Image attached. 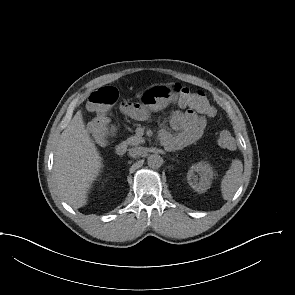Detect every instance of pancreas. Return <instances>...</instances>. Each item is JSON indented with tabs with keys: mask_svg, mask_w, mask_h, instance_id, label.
<instances>
[{
	"mask_svg": "<svg viewBox=\"0 0 295 295\" xmlns=\"http://www.w3.org/2000/svg\"><path fill=\"white\" fill-rule=\"evenodd\" d=\"M126 144L130 145V146H137L139 144L144 143V139L141 136L138 135H134L129 137L126 141Z\"/></svg>",
	"mask_w": 295,
	"mask_h": 295,
	"instance_id": "obj_1",
	"label": "pancreas"
}]
</instances>
